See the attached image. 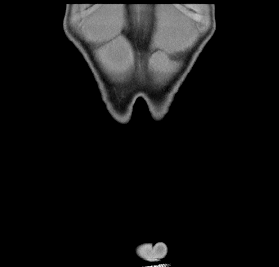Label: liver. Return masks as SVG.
Masks as SVG:
<instances>
[{
    "label": "liver",
    "instance_id": "6515ba94",
    "mask_svg": "<svg viewBox=\"0 0 279 267\" xmlns=\"http://www.w3.org/2000/svg\"><path fill=\"white\" fill-rule=\"evenodd\" d=\"M137 13V19H140V12L145 10L142 6H135ZM176 23L174 16L168 11L166 16V28L164 32L165 44L169 49H175L176 47ZM116 33V24L112 17L105 20L97 21L92 30L93 41H102L108 36H112ZM106 68L114 73H122L125 69L124 62L122 60V51L114 42L109 46L107 55L103 58Z\"/></svg>",
    "mask_w": 279,
    "mask_h": 267
}]
</instances>
